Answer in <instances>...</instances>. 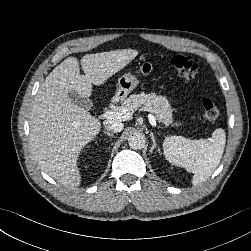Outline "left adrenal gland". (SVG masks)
Instances as JSON below:
<instances>
[{"mask_svg": "<svg viewBox=\"0 0 251 251\" xmlns=\"http://www.w3.org/2000/svg\"><path fill=\"white\" fill-rule=\"evenodd\" d=\"M150 136H151V139H152V142H153L152 147H151V150H150V152L152 153L153 150L156 148L157 143H156V141H155V138H154L153 133H151Z\"/></svg>", "mask_w": 251, "mask_h": 251, "instance_id": "obj_1", "label": "left adrenal gland"}]
</instances>
